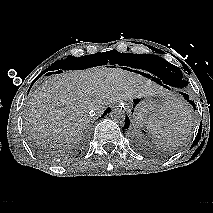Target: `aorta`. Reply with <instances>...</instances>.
Here are the masks:
<instances>
[{"label": "aorta", "mask_w": 213, "mask_h": 213, "mask_svg": "<svg viewBox=\"0 0 213 213\" xmlns=\"http://www.w3.org/2000/svg\"><path fill=\"white\" fill-rule=\"evenodd\" d=\"M110 117L116 123L123 124L125 122V119H126V114L122 109L118 108V109H114L110 113Z\"/></svg>", "instance_id": "1"}]
</instances>
